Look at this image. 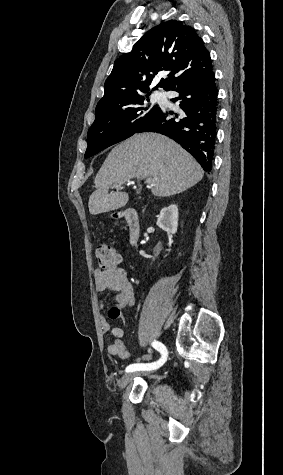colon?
I'll use <instances>...</instances> for the list:
<instances>
[{"label": "colon", "mask_w": 283, "mask_h": 475, "mask_svg": "<svg viewBox=\"0 0 283 475\" xmlns=\"http://www.w3.org/2000/svg\"><path fill=\"white\" fill-rule=\"evenodd\" d=\"M97 262L101 267L116 269L120 262V256L110 245L102 244L96 248Z\"/></svg>", "instance_id": "colon-1"}]
</instances>
